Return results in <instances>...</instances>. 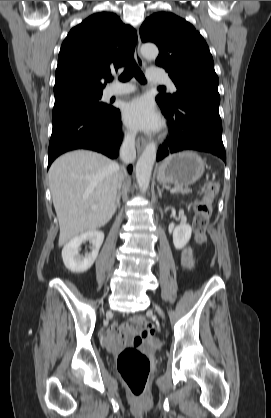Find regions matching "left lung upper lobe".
<instances>
[{
    "mask_svg": "<svg viewBox=\"0 0 271 418\" xmlns=\"http://www.w3.org/2000/svg\"><path fill=\"white\" fill-rule=\"evenodd\" d=\"M142 42L159 48L156 65L165 68L177 87L173 95H159L156 100L173 110L184 98L219 105V80L209 48L198 31L185 19L169 12L154 13L140 28Z\"/></svg>",
    "mask_w": 271,
    "mask_h": 418,
    "instance_id": "1",
    "label": "left lung upper lobe"
}]
</instances>
